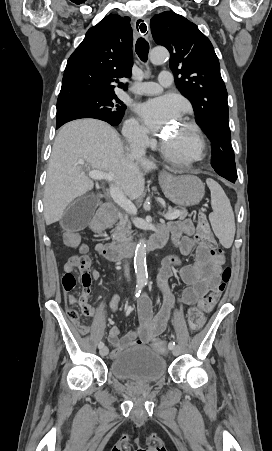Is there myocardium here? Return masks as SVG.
Wrapping results in <instances>:
<instances>
[{"mask_svg":"<svg viewBox=\"0 0 272 451\" xmlns=\"http://www.w3.org/2000/svg\"><path fill=\"white\" fill-rule=\"evenodd\" d=\"M191 133V144L189 148L174 147L172 149L164 142L163 148L166 153L175 161L197 162L204 157V141L200 135V131L196 125L189 121H183Z\"/></svg>","mask_w":272,"mask_h":451,"instance_id":"1","label":"myocardium"}]
</instances>
